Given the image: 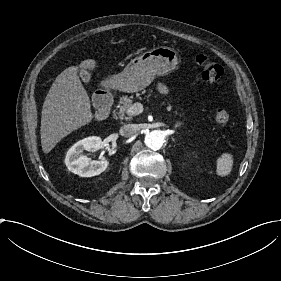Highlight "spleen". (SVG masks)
<instances>
[{
	"label": "spleen",
	"mask_w": 281,
	"mask_h": 281,
	"mask_svg": "<svg viewBox=\"0 0 281 281\" xmlns=\"http://www.w3.org/2000/svg\"><path fill=\"white\" fill-rule=\"evenodd\" d=\"M233 166V159L231 154L224 153L217 159V175L227 176L230 174Z\"/></svg>",
	"instance_id": "obj_1"
}]
</instances>
